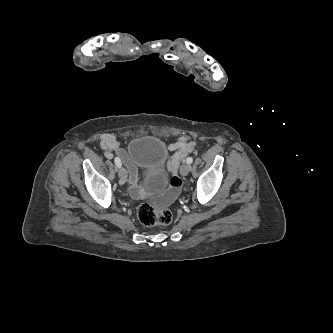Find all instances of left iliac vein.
<instances>
[{
	"mask_svg": "<svg viewBox=\"0 0 333 333\" xmlns=\"http://www.w3.org/2000/svg\"><path fill=\"white\" fill-rule=\"evenodd\" d=\"M190 168H191V167H190L189 164H183V165L181 166V169H180V173H181V175L186 176V175L189 173Z\"/></svg>",
	"mask_w": 333,
	"mask_h": 333,
	"instance_id": "1",
	"label": "left iliac vein"
}]
</instances>
